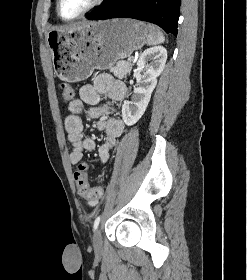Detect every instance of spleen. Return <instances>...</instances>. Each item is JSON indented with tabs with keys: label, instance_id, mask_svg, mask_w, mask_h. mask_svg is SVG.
Wrapping results in <instances>:
<instances>
[{
	"label": "spleen",
	"instance_id": "spleen-1",
	"mask_svg": "<svg viewBox=\"0 0 247 280\" xmlns=\"http://www.w3.org/2000/svg\"><path fill=\"white\" fill-rule=\"evenodd\" d=\"M147 26L149 30V34L147 37L148 45H156V44L163 43L165 41V37L158 27L152 24H148Z\"/></svg>",
	"mask_w": 247,
	"mask_h": 280
}]
</instances>
